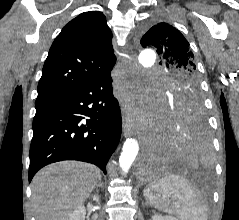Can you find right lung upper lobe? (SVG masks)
Segmentation results:
<instances>
[{
  "label": "right lung upper lobe",
  "mask_w": 239,
  "mask_h": 220,
  "mask_svg": "<svg viewBox=\"0 0 239 220\" xmlns=\"http://www.w3.org/2000/svg\"><path fill=\"white\" fill-rule=\"evenodd\" d=\"M111 39L102 12H85L71 20L49 50L37 98L81 87L111 70L116 62Z\"/></svg>",
  "instance_id": "obj_1"
}]
</instances>
